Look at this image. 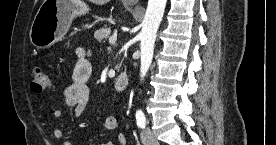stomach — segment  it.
Wrapping results in <instances>:
<instances>
[{"label":"stomach","instance_id":"stomach-1","mask_svg":"<svg viewBox=\"0 0 276 145\" xmlns=\"http://www.w3.org/2000/svg\"><path fill=\"white\" fill-rule=\"evenodd\" d=\"M89 10L79 0H44L31 25V43L40 49L51 47L65 37L74 17Z\"/></svg>","mask_w":276,"mask_h":145}]
</instances>
